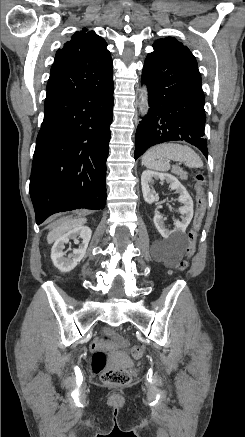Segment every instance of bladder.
I'll list each match as a JSON object with an SVG mask.
<instances>
[{
  "mask_svg": "<svg viewBox=\"0 0 245 437\" xmlns=\"http://www.w3.org/2000/svg\"><path fill=\"white\" fill-rule=\"evenodd\" d=\"M115 362L118 365H124L128 362V359L125 356L119 354L115 357Z\"/></svg>",
  "mask_w": 245,
  "mask_h": 437,
  "instance_id": "bladder-1",
  "label": "bladder"
}]
</instances>
